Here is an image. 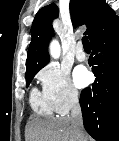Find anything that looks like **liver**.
I'll return each mask as SVG.
<instances>
[{"mask_svg":"<svg viewBox=\"0 0 119 141\" xmlns=\"http://www.w3.org/2000/svg\"><path fill=\"white\" fill-rule=\"evenodd\" d=\"M27 141H79L70 117L41 119L33 117L27 123ZM83 139L88 137L83 132Z\"/></svg>","mask_w":119,"mask_h":141,"instance_id":"6515ba94","label":"liver"}]
</instances>
